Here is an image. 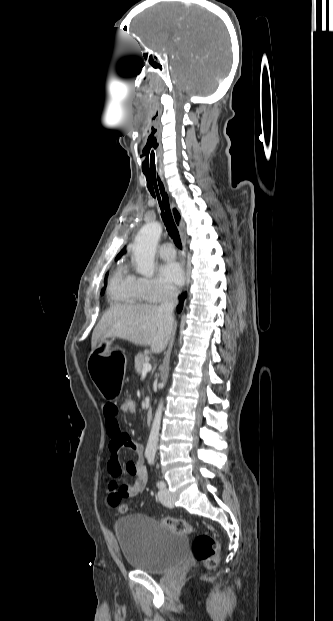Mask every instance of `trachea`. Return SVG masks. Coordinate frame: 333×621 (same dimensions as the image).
<instances>
[{"mask_svg": "<svg viewBox=\"0 0 333 621\" xmlns=\"http://www.w3.org/2000/svg\"><path fill=\"white\" fill-rule=\"evenodd\" d=\"M144 175L146 177L147 188L149 192L154 198H157L159 202V206L161 209V217L166 226L169 236L174 240L176 246L182 249V243H181L179 231L174 222L171 209H170L169 198H168L167 193L165 192V188L163 186L162 181L160 180L158 175L156 177V174H153V173L150 174V173L144 172Z\"/></svg>", "mask_w": 333, "mask_h": 621, "instance_id": "obj_1", "label": "trachea"}]
</instances>
